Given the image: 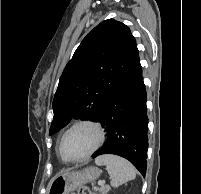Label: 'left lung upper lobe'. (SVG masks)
I'll return each instance as SVG.
<instances>
[{"instance_id":"obj_1","label":"left lung upper lobe","mask_w":201,"mask_h":194,"mask_svg":"<svg viewBox=\"0 0 201 194\" xmlns=\"http://www.w3.org/2000/svg\"><path fill=\"white\" fill-rule=\"evenodd\" d=\"M138 55L135 38L125 24L108 19L92 29L60 77L49 135L73 118L97 119Z\"/></svg>"}]
</instances>
